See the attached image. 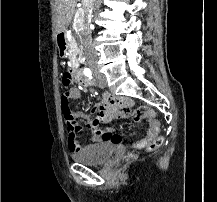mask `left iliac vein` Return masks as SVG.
Segmentation results:
<instances>
[{"mask_svg":"<svg viewBox=\"0 0 217 202\" xmlns=\"http://www.w3.org/2000/svg\"><path fill=\"white\" fill-rule=\"evenodd\" d=\"M98 86L99 88H102V89L106 87V82L102 76L98 77Z\"/></svg>","mask_w":217,"mask_h":202,"instance_id":"4c4485c4","label":"left iliac vein"}]
</instances>
